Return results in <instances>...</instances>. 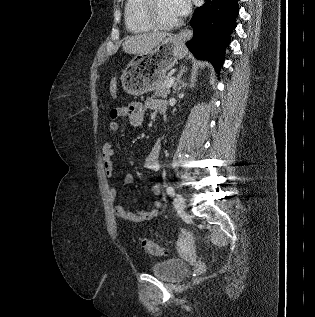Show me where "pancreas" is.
I'll return each instance as SVG.
<instances>
[{
	"label": "pancreas",
	"mask_w": 315,
	"mask_h": 317,
	"mask_svg": "<svg viewBox=\"0 0 315 317\" xmlns=\"http://www.w3.org/2000/svg\"><path fill=\"white\" fill-rule=\"evenodd\" d=\"M167 82H168V80L166 78L160 86L155 88V92L153 94V97H156V96L163 97V98L167 97V95L170 93V90L166 86Z\"/></svg>",
	"instance_id": "obj_1"
}]
</instances>
